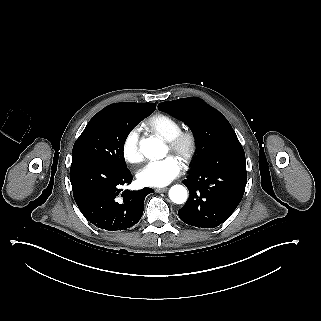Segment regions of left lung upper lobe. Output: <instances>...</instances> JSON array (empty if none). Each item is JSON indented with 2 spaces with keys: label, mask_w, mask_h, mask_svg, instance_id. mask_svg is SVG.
<instances>
[{
  "label": "left lung upper lobe",
  "mask_w": 321,
  "mask_h": 321,
  "mask_svg": "<svg viewBox=\"0 0 321 321\" xmlns=\"http://www.w3.org/2000/svg\"><path fill=\"white\" fill-rule=\"evenodd\" d=\"M160 111L176 117L189 126L195 137L196 158L192 169L220 150L241 146L228 120L197 97L182 98L158 104Z\"/></svg>",
  "instance_id": "obj_1"
}]
</instances>
